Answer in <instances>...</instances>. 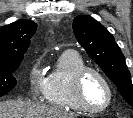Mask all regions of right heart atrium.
<instances>
[{
    "label": "right heart atrium",
    "instance_id": "right-heart-atrium-1",
    "mask_svg": "<svg viewBox=\"0 0 133 118\" xmlns=\"http://www.w3.org/2000/svg\"><path fill=\"white\" fill-rule=\"evenodd\" d=\"M29 84L32 95L35 98H42L46 93L47 77L42 71L39 63H34L29 71Z\"/></svg>",
    "mask_w": 133,
    "mask_h": 118
}]
</instances>
